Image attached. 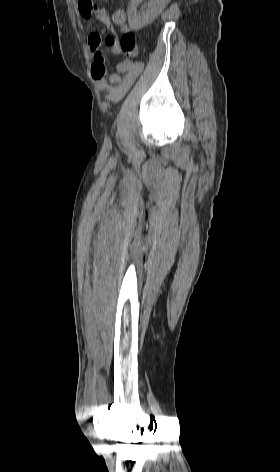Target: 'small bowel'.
I'll return each mask as SVG.
<instances>
[{
    "instance_id": "obj_1",
    "label": "small bowel",
    "mask_w": 280,
    "mask_h": 472,
    "mask_svg": "<svg viewBox=\"0 0 280 472\" xmlns=\"http://www.w3.org/2000/svg\"><path fill=\"white\" fill-rule=\"evenodd\" d=\"M88 1L92 3L91 8L88 7ZM78 8L83 19L88 20L94 15L112 32L111 35L106 36L104 39L97 31L91 32L88 37V45L93 56L91 73L95 80L96 88L107 91V101L112 103L119 102L143 70L142 62L126 59L117 64L116 74L106 77L104 50L107 48L113 54L120 53L119 40L114 33V26L120 27L124 32L128 31L126 12L123 9H117L109 16L102 7L94 4L92 0H79Z\"/></svg>"
}]
</instances>
